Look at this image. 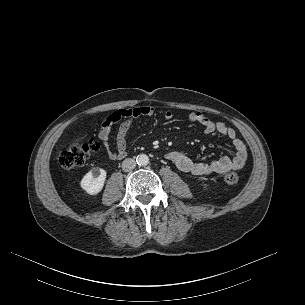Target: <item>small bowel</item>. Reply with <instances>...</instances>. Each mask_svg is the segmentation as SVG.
<instances>
[{
    "label": "small bowel",
    "instance_id": "small-bowel-1",
    "mask_svg": "<svg viewBox=\"0 0 305 305\" xmlns=\"http://www.w3.org/2000/svg\"><path fill=\"white\" fill-rule=\"evenodd\" d=\"M155 115V110L147 105L135 108H123L114 111L103 121L99 139L102 141L106 153L110 159H122L127 154L126 136L136 118H150ZM173 118L172 111L164 113V119L169 121ZM189 122L199 123L204 128V133L209 135L218 133L231 140L233 146L232 156H223L212 162H194L184 152L171 151L165 157L171 161L181 172L192 176H207L211 174H222L231 170L240 169L247 159V150L243 141L237 137L236 131L223 122H214L202 112H190L187 116ZM119 127L115 137V148L110 144L112 126L118 123Z\"/></svg>",
    "mask_w": 305,
    "mask_h": 305
}]
</instances>
